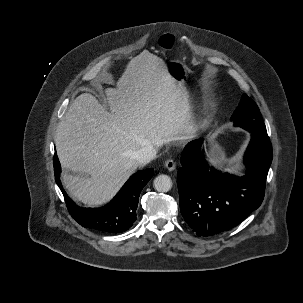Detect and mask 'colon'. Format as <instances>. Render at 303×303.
<instances>
[{
	"label": "colon",
	"mask_w": 303,
	"mask_h": 303,
	"mask_svg": "<svg viewBox=\"0 0 303 303\" xmlns=\"http://www.w3.org/2000/svg\"><path fill=\"white\" fill-rule=\"evenodd\" d=\"M160 46L163 49L170 50L174 46V37L172 35L166 34L160 38Z\"/></svg>",
	"instance_id": "1"
}]
</instances>
